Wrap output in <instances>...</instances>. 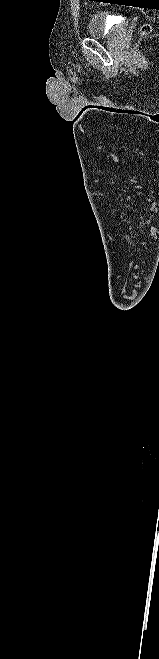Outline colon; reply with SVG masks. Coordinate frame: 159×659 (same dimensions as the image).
<instances>
[{
  "label": "colon",
  "mask_w": 159,
  "mask_h": 659,
  "mask_svg": "<svg viewBox=\"0 0 159 659\" xmlns=\"http://www.w3.org/2000/svg\"><path fill=\"white\" fill-rule=\"evenodd\" d=\"M151 33V27L147 24L143 25L141 28V34L147 35Z\"/></svg>",
  "instance_id": "obj_1"
}]
</instances>
